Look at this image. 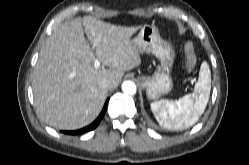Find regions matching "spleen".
Segmentation results:
<instances>
[{"instance_id":"spleen-1","label":"spleen","mask_w":249,"mask_h":165,"mask_svg":"<svg viewBox=\"0 0 249 165\" xmlns=\"http://www.w3.org/2000/svg\"><path fill=\"white\" fill-rule=\"evenodd\" d=\"M211 90V72L207 62L200 67L199 78L191 94L178 101L160 100L150 104L159 124L168 129H184L194 125L203 114Z\"/></svg>"}]
</instances>
